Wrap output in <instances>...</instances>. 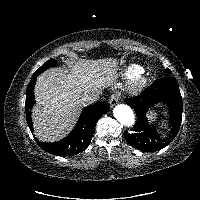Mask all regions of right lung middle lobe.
<instances>
[{
  "label": "right lung middle lobe",
  "instance_id": "dd1d6c3e",
  "mask_svg": "<svg viewBox=\"0 0 200 200\" xmlns=\"http://www.w3.org/2000/svg\"><path fill=\"white\" fill-rule=\"evenodd\" d=\"M57 65L56 60L51 59L49 61H47L45 64H43L39 69H37L32 77H37L38 75H40L43 71L47 70L49 67H54Z\"/></svg>",
  "mask_w": 200,
  "mask_h": 200
}]
</instances>
